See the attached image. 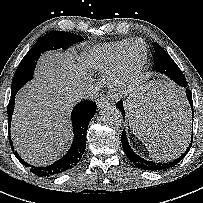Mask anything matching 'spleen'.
I'll return each mask as SVG.
<instances>
[{"label":"spleen","instance_id":"obj_1","mask_svg":"<svg viewBox=\"0 0 203 203\" xmlns=\"http://www.w3.org/2000/svg\"><path fill=\"white\" fill-rule=\"evenodd\" d=\"M150 86L151 88L148 87L147 92L145 93V99L149 105L153 106L158 111H164V113L167 114L175 112L179 115L185 114L186 116L185 98L180 89L175 88L172 83L166 81H158ZM142 115L143 113L141 116ZM136 134H138L139 139L145 143L151 158L158 161L172 160L180 156L187 147L189 141L188 129H184L181 136H178L175 140L160 148H156L149 144L139 133L136 132Z\"/></svg>","mask_w":203,"mask_h":203}]
</instances>
